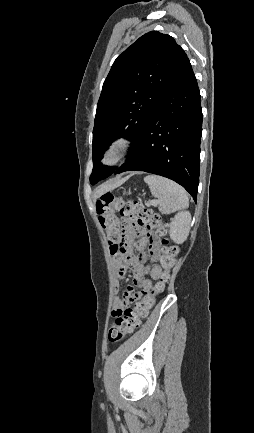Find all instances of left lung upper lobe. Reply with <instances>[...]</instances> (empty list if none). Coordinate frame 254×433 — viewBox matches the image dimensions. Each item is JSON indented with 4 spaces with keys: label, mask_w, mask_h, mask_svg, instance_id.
I'll return each mask as SVG.
<instances>
[{
    "label": "left lung upper lobe",
    "mask_w": 254,
    "mask_h": 433,
    "mask_svg": "<svg viewBox=\"0 0 254 433\" xmlns=\"http://www.w3.org/2000/svg\"><path fill=\"white\" fill-rule=\"evenodd\" d=\"M187 58L175 40L158 31L141 36L114 61L104 81L93 129L92 185L115 172L100 163L115 139L133 142L129 155Z\"/></svg>",
    "instance_id": "left-lung-upper-lobe-1"
}]
</instances>
